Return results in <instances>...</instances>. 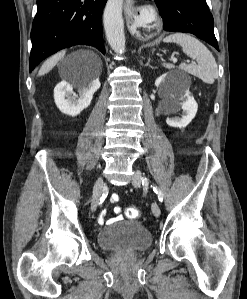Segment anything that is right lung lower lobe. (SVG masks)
<instances>
[{"mask_svg": "<svg viewBox=\"0 0 247 299\" xmlns=\"http://www.w3.org/2000/svg\"><path fill=\"white\" fill-rule=\"evenodd\" d=\"M107 0H37L30 72L51 54L74 45H91L105 54L101 15Z\"/></svg>", "mask_w": 247, "mask_h": 299, "instance_id": "98d812e1", "label": "right lung lower lobe"}]
</instances>
